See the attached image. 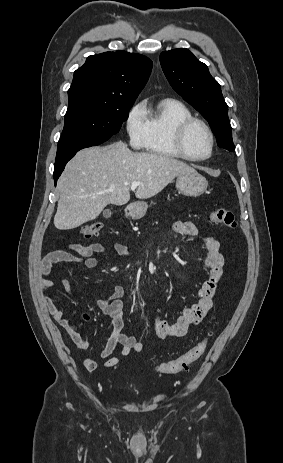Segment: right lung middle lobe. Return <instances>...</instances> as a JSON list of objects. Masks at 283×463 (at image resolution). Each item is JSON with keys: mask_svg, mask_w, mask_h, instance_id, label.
I'll return each instance as SVG.
<instances>
[{"mask_svg": "<svg viewBox=\"0 0 283 463\" xmlns=\"http://www.w3.org/2000/svg\"><path fill=\"white\" fill-rule=\"evenodd\" d=\"M68 96L69 105L58 147L79 141L109 139L119 132L135 101L84 92Z\"/></svg>", "mask_w": 283, "mask_h": 463, "instance_id": "dd1d6c3e", "label": "right lung middle lobe"}]
</instances>
